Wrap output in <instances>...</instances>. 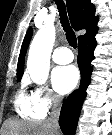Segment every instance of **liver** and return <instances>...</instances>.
Listing matches in <instances>:
<instances>
[{
    "label": "liver",
    "instance_id": "6515ba94",
    "mask_svg": "<svg viewBox=\"0 0 112 135\" xmlns=\"http://www.w3.org/2000/svg\"><path fill=\"white\" fill-rule=\"evenodd\" d=\"M3 135H57L52 125L46 122H26L20 120H6Z\"/></svg>",
    "mask_w": 112,
    "mask_h": 135
}]
</instances>
